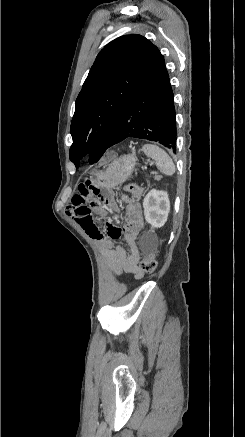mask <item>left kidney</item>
Segmentation results:
<instances>
[{"mask_svg":"<svg viewBox=\"0 0 245 437\" xmlns=\"http://www.w3.org/2000/svg\"><path fill=\"white\" fill-rule=\"evenodd\" d=\"M145 220L151 228H160L167 221L170 211L168 193L165 191L151 190L143 200Z\"/></svg>","mask_w":245,"mask_h":437,"instance_id":"obj_1","label":"left kidney"}]
</instances>
